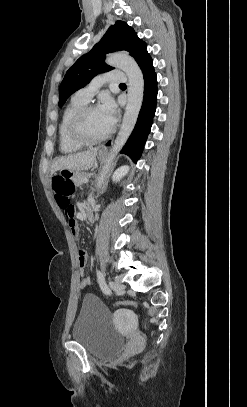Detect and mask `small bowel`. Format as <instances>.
Returning <instances> with one entry per match:
<instances>
[{
	"mask_svg": "<svg viewBox=\"0 0 247 407\" xmlns=\"http://www.w3.org/2000/svg\"><path fill=\"white\" fill-rule=\"evenodd\" d=\"M64 212L69 228L74 236L78 234V223L76 219V208L72 201L65 207L61 208ZM87 251L82 249L78 252V265L80 267L81 285L86 287L90 284V277L85 273V265L87 262Z\"/></svg>",
	"mask_w": 247,
	"mask_h": 407,
	"instance_id": "small-bowel-1",
	"label": "small bowel"
}]
</instances>
